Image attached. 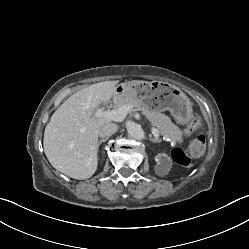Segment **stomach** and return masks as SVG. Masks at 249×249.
Here are the masks:
<instances>
[{
    "mask_svg": "<svg viewBox=\"0 0 249 249\" xmlns=\"http://www.w3.org/2000/svg\"><path fill=\"white\" fill-rule=\"evenodd\" d=\"M115 92L119 96H131L154 111L169 110L180 124H186L191 119L190 99L171 84L160 81H131L116 86Z\"/></svg>",
    "mask_w": 249,
    "mask_h": 249,
    "instance_id": "stomach-1",
    "label": "stomach"
}]
</instances>
